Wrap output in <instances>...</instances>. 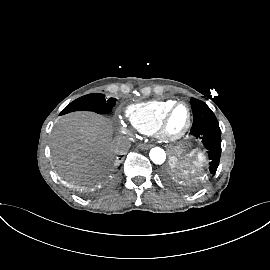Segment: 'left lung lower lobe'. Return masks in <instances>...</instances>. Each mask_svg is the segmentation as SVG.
Segmentation results:
<instances>
[{"label":"left lung lower lobe","instance_id":"1","mask_svg":"<svg viewBox=\"0 0 270 270\" xmlns=\"http://www.w3.org/2000/svg\"><path fill=\"white\" fill-rule=\"evenodd\" d=\"M190 134L201 140L203 150L206 151L209 166L207 168V176L211 177L216 173L221 156V130L218 123L204 124L198 128L191 129ZM165 180L173 184L170 174H165Z\"/></svg>","mask_w":270,"mask_h":270}]
</instances>
